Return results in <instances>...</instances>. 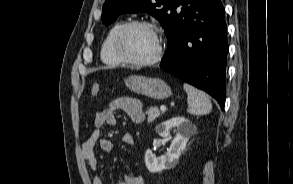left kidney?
I'll return each mask as SVG.
<instances>
[{
  "label": "left kidney",
  "mask_w": 293,
  "mask_h": 184,
  "mask_svg": "<svg viewBox=\"0 0 293 184\" xmlns=\"http://www.w3.org/2000/svg\"><path fill=\"white\" fill-rule=\"evenodd\" d=\"M170 129H173L176 135L165 155L156 157L150 149L145 153V165L151 173L174 167L185 150L189 138L196 131L195 125L183 116L173 117L157 127L159 135L164 138L169 136Z\"/></svg>",
  "instance_id": "left-kidney-1"
}]
</instances>
